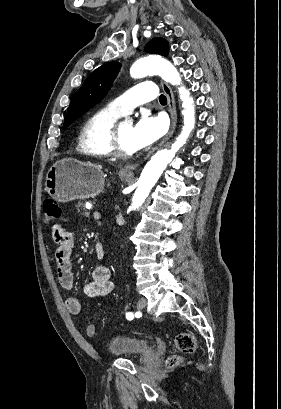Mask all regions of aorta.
I'll list each match as a JSON object with an SVG mask.
<instances>
[{"mask_svg": "<svg viewBox=\"0 0 281 409\" xmlns=\"http://www.w3.org/2000/svg\"><path fill=\"white\" fill-rule=\"evenodd\" d=\"M130 74L133 78L159 75L172 85H181V78L177 69L169 61L156 56H149L137 60L131 66ZM179 97L182 101L183 107V129L170 149H164L157 152L145 165L137 182V189L132 198L131 207L133 209L141 207L167 165L172 161L180 147L185 144L190 132L194 128V101L190 97V92L183 85L179 87Z\"/></svg>", "mask_w": 281, "mask_h": 409, "instance_id": "1", "label": "aorta"}]
</instances>
